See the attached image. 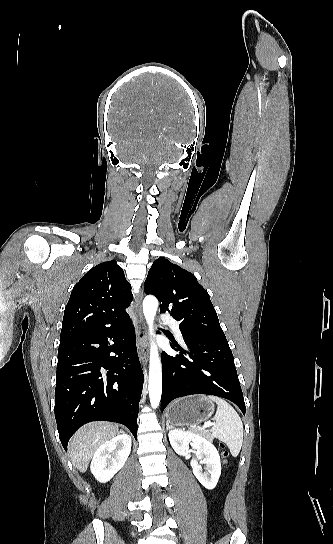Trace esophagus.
Instances as JSON below:
<instances>
[{"mask_svg":"<svg viewBox=\"0 0 333 544\" xmlns=\"http://www.w3.org/2000/svg\"><path fill=\"white\" fill-rule=\"evenodd\" d=\"M141 300H142V294H140L135 301V312L137 315V321H136V344H137V351L138 356L141 361V363L144 365L148 361V352L144 344V339L146 337L147 329L146 325L143 319L142 315V309H141Z\"/></svg>","mask_w":333,"mask_h":544,"instance_id":"obj_1","label":"esophagus"}]
</instances>
